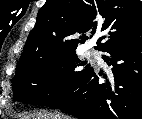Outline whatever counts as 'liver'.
Listing matches in <instances>:
<instances>
[{
    "label": "liver",
    "instance_id": "6515ba94",
    "mask_svg": "<svg viewBox=\"0 0 142 119\" xmlns=\"http://www.w3.org/2000/svg\"><path fill=\"white\" fill-rule=\"evenodd\" d=\"M23 119H69L60 114H36L32 116H25Z\"/></svg>",
    "mask_w": 142,
    "mask_h": 119
}]
</instances>
